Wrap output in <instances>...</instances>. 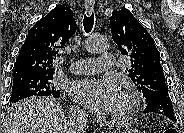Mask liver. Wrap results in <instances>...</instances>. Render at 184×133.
<instances>
[{"instance_id":"6515ba94","label":"liver","mask_w":184,"mask_h":133,"mask_svg":"<svg viewBox=\"0 0 184 133\" xmlns=\"http://www.w3.org/2000/svg\"><path fill=\"white\" fill-rule=\"evenodd\" d=\"M62 107L53 97H31L17 102L8 112L3 133H68Z\"/></svg>"}]
</instances>
